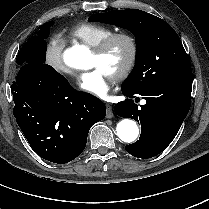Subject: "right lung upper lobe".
<instances>
[{
	"instance_id": "obj_1",
	"label": "right lung upper lobe",
	"mask_w": 209,
	"mask_h": 209,
	"mask_svg": "<svg viewBox=\"0 0 209 209\" xmlns=\"http://www.w3.org/2000/svg\"><path fill=\"white\" fill-rule=\"evenodd\" d=\"M50 22H51V21H50ZM50 22L45 23L44 25L40 26L39 28L41 29V28H43V27H45V26L49 25V24H50Z\"/></svg>"
}]
</instances>
